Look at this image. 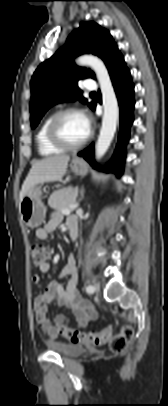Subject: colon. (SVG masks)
I'll return each instance as SVG.
<instances>
[{"mask_svg":"<svg viewBox=\"0 0 168 406\" xmlns=\"http://www.w3.org/2000/svg\"><path fill=\"white\" fill-rule=\"evenodd\" d=\"M30 253L33 265L38 267L46 264L50 256L49 248L37 242L31 245ZM57 329L72 343H90L93 345H102L110 340V349L114 353L123 352L134 335L132 327L127 325L123 326L121 330L113 336L111 335L110 328H106L101 332H85L64 324H60L57 325Z\"/></svg>","mask_w":168,"mask_h":406,"instance_id":"obj_1","label":"colon"}]
</instances>
